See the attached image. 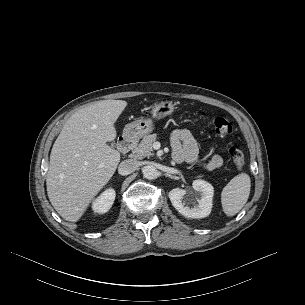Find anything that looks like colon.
<instances>
[{"mask_svg": "<svg viewBox=\"0 0 305 305\" xmlns=\"http://www.w3.org/2000/svg\"><path fill=\"white\" fill-rule=\"evenodd\" d=\"M213 127L215 133L223 138H229L232 135V126L230 122L222 117H217L213 120ZM229 155L231 156L235 167L238 171L242 170L245 165L244 154L238 148L231 146L229 148Z\"/></svg>", "mask_w": 305, "mask_h": 305, "instance_id": "5ec220e1", "label": "colon"}]
</instances>
